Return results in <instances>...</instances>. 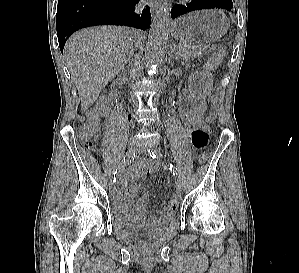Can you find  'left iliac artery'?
I'll list each match as a JSON object with an SVG mask.
<instances>
[{
  "instance_id": "1",
  "label": "left iliac artery",
  "mask_w": 299,
  "mask_h": 273,
  "mask_svg": "<svg viewBox=\"0 0 299 273\" xmlns=\"http://www.w3.org/2000/svg\"><path fill=\"white\" fill-rule=\"evenodd\" d=\"M149 155L152 158H156V157H160L162 154L159 151L156 150H149ZM170 171L173 173V175L179 176L178 170L175 166H173L172 164H170Z\"/></svg>"
}]
</instances>
